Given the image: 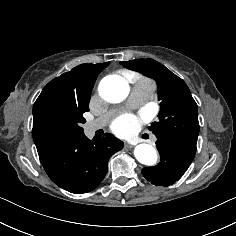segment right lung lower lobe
<instances>
[{
  "label": "right lung lower lobe",
  "mask_w": 236,
  "mask_h": 236,
  "mask_svg": "<svg viewBox=\"0 0 236 236\" xmlns=\"http://www.w3.org/2000/svg\"><path fill=\"white\" fill-rule=\"evenodd\" d=\"M111 134L89 140L84 133L36 145L40 161L59 187L75 194L95 189L105 177L109 158L123 148Z\"/></svg>",
  "instance_id": "1"
}]
</instances>
